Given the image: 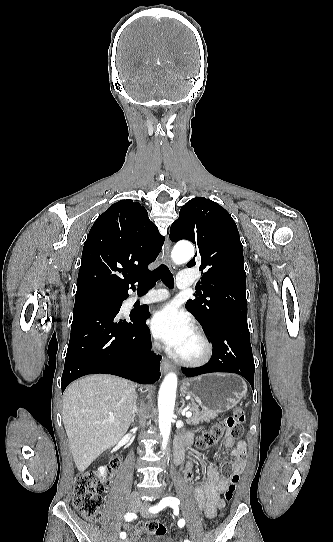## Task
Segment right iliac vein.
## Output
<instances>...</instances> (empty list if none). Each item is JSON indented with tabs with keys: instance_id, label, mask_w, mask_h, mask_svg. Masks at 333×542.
I'll return each instance as SVG.
<instances>
[{
	"instance_id": "63e3f726",
	"label": "right iliac vein",
	"mask_w": 333,
	"mask_h": 542,
	"mask_svg": "<svg viewBox=\"0 0 333 542\" xmlns=\"http://www.w3.org/2000/svg\"><path fill=\"white\" fill-rule=\"evenodd\" d=\"M130 501V502H129ZM129 507L128 509L132 512L136 511L139 509V507L141 506V503H140V499L137 495H133L129 500ZM122 542H129L128 539H125L124 541Z\"/></svg>"
}]
</instances>
